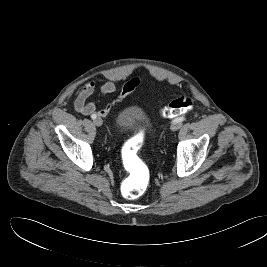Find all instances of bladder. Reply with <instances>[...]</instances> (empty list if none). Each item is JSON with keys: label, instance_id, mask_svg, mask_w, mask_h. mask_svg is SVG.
I'll return each mask as SVG.
<instances>
[{"label": "bladder", "instance_id": "obj_1", "mask_svg": "<svg viewBox=\"0 0 267 267\" xmlns=\"http://www.w3.org/2000/svg\"><path fill=\"white\" fill-rule=\"evenodd\" d=\"M142 127L146 132L152 129V122L144 109L138 105L123 107L116 116V127L120 131Z\"/></svg>", "mask_w": 267, "mask_h": 267}]
</instances>
